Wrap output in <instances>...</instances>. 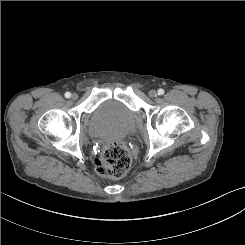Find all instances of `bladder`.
Segmentation results:
<instances>
[{"instance_id":"31cf9c89","label":"bladder","mask_w":245,"mask_h":245,"mask_svg":"<svg viewBox=\"0 0 245 245\" xmlns=\"http://www.w3.org/2000/svg\"><path fill=\"white\" fill-rule=\"evenodd\" d=\"M136 128V115L125 105L109 100L101 103L91 114L88 133L96 138L126 137Z\"/></svg>"}]
</instances>
